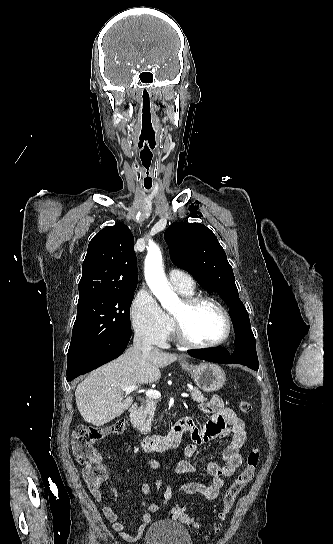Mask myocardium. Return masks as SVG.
Listing matches in <instances>:
<instances>
[{
  "label": "myocardium",
  "mask_w": 333,
  "mask_h": 544,
  "mask_svg": "<svg viewBox=\"0 0 333 544\" xmlns=\"http://www.w3.org/2000/svg\"><path fill=\"white\" fill-rule=\"evenodd\" d=\"M206 302L216 305L221 311L226 325L224 335L219 340L211 343H198L190 338L181 319L173 315L175 334L181 344L194 349H210L223 345L230 338L232 333V320L226 306L220 299L211 295H191L185 297L182 304L187 311H193L199 305Z\"/></svg>",
  "instance_id": "1"
}]
</instances>
